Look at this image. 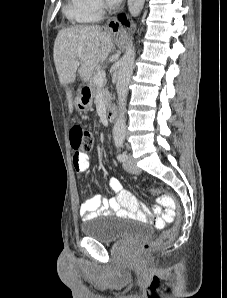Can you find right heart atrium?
I'll return each instance as SVG.
<instances>
[{"instance_id":"d8ad5b80","label":"right heart atrium","mask_w":227,"mask_h":298,"mask_svg":"<svg viewBox=\"0 0 227 298\" xmlns=\"http://www.w3.org/2000/svg\"><path fill=\"white\" fill-rule=\"evenodd\" d=\"M91 6L96 10L99 11L102 8V1L101 0H88Z\"/></svg>"}]
</instances>
